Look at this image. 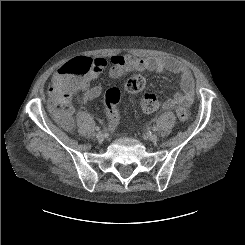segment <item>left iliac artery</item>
I'll return each mask as SVG.
<instances>
[{
	"label": "left iliac artery",
	"mask_w": 245,
	"mask_h": 245,
	"mask_svg": "<svg viewBox=\"0 0 245 245\" xmlns=\"http://www.w3.org/2000/svg\"><path fill=\"white\" fill-rule=\"evenodd\" d=\"M152 130H153V131H157L158 128H157L156 126H154V127L152 128Z\"/></svg>",
	"instance_id": "1"
}]
</instances>
